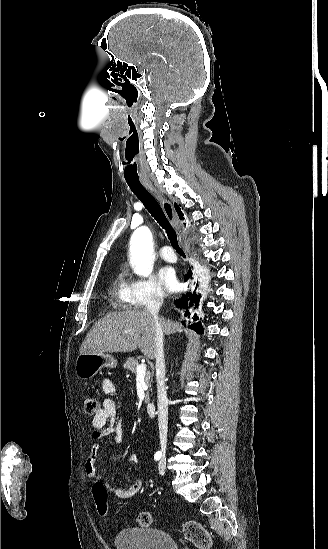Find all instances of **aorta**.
I'll list each match as a JSON object with an SVG mask.
<instances>
[{"label":"aorta","mask_w":328,"mask_h":549,"mask_svg":"<svg viewBox=\"0 0 328 549\" xmlns=\"http://www.w3.org/2000/svg\"><path fill=\"white\" fill-rule=\"evenodd\" d=\"M131 261L135 272L147 277L153 269L152 263V235L150 230L142 226L136 229L130 242Z\"/></svg>","instance_id":"762f6f07"}]
</instances>
